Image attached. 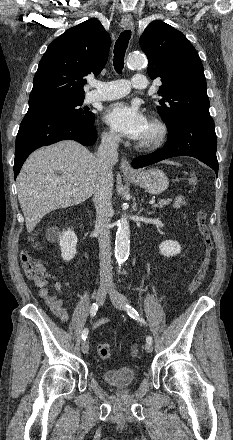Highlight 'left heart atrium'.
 I'll return each instance as SVG.
<instances>
[{
    "mask_svg": "<svg viewBox=\"0 0 233 440\" xmlns=\"http://www.w3.org/2000/svg\"><path fill=\"white\" fill-rule=\"evenodd\" d=\"M104 120L120 135L135 140L142 138L148 126L142 111L125 102L111 104L104 112Z\"/></svg>",
    "mask_w": 233,
    "mask_h": 440,
    "instance_id": "39dd6f15",
    "label": "left heart atrium"
}]
</instances>
